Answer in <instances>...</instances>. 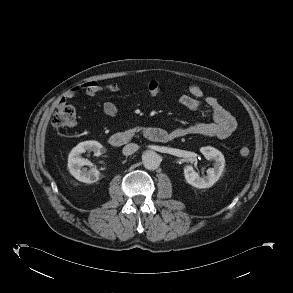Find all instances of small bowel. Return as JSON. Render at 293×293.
Masks as SVG:
<instances>
[{
    "instance_id": "1",
    "label": "small bowel",
    "mask_w": 293,
    "mask_h": 293,
    "mask_svg": "<svg viewBox=\"0 0 293 293\" xmlns=\"http://www.w3.org/2000/svg\"><path fill=\"white\" fill-rule=\"evenodd\" d=\"M118 91H120V86L117 83L101 85L96 81H89L68 90L60 99L59 103H66L68 99L73 98L79 93L95 96L101 92L116 93ZM160 92L161 85L158 81H151L148 84L149 96L156 97ZM201 100L204 101L205 106L211 111L213 121L210 123H194L185 127L176 128L170 132L173 138L196 134L224 139L235 131L237 122L234 116L231 115L215 97L204 96L202 89L196 84L189 87L188 94H184L179 98V104L186 109L198 111L202 107ZM103 110L109 116H115L118 112L117 106L111 101L104 103Z\"/></svg>"
}]
</instances>
